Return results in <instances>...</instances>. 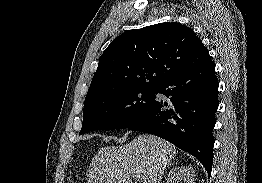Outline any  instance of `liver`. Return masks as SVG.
Returning <instances> with one entry per match:
<instances>
[{"instance_id":"6515ba94","label":"liver","mask_w":262,"mask_h":183,"mask_svg":"<svg viewBox=\"0 0 262 183\" xmlns=\"http://www.w3.org/2000/svg\"><path fill=\"white\" fill-rule=\"evenodd\" d=\"M176 156L175 146L149 134L135 137L126 146L102 147L94 155L87 183H161L166 167Z\"/></svg>"}]
</instances>
